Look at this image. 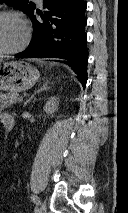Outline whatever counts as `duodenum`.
<instances>
[{"label": "duodenum", "mask_w": 128, "mask_h": 213, "mask_svg": "<svg viewBox=\"0 0 128 213\" xmlns=\"http://www.w3.org/2000/svg\"><path fill=\"white\" fill-rule=\"evenodd\" d=\"M3 124L6 130V133L8 134L13 129L14 118L10 115H7L3 120Z\"/></svg>", "instance_id": "obj_1"}]
</instances>
